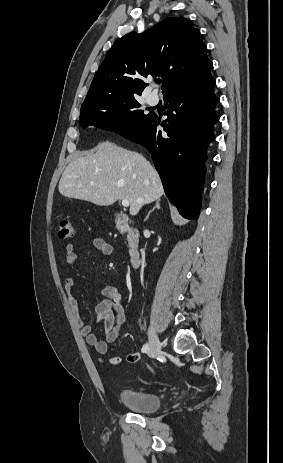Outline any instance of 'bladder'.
Here are the masks:
<instances>
[{
  "mask_svg": "<svg viewBox=\"0 0 283 463\" xmlns=\"http://www.w3.org/2000/svg\"><path fill=\"white\" fill-rule=\"evenodd\" d=\"M119 399L123 405L131 410L144 414L158 411L161 405L159 395L135 389L121 390Z\"/></svg>",
  "mask_w": 283,
  "mask_h": 463,
  "instance_id": "bladder-1",
  "label": "bladder"
}]
</instances>
